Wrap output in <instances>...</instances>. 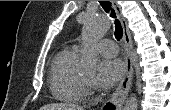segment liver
Here are the masks:
<instances>
[{"label": "liver", "mask_w": 171, "mask_h": 110, "mask_svg": "<svg viewBox=\"0 0 171 110\" xmlns=\"http://www.w3.org/2000/svg\"><path fill=\"white\" fill-rule=\"evenodd\" d=\"M40 110H84V109L73 104L52 103L41 107Z\"/></svg>", "instance_id": "1"}]
</instances>
